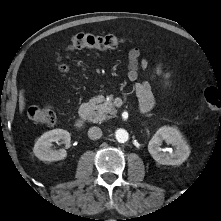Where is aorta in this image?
<instances>
[{"label": "aorta", "mask_w": 221, "mask_h": 221, "mask_svg": "<svg viewBox=\"0 0 221 221\" xmlns=\"http://www.w3.org/2000/svg\"><path fill=\"white\" fill-rule=\"evenodd\" d=\"M115 138L118 142L124 143L128 140L129 135L128 132L124 129H117L115 131Z\"/></svg>", "instance_id": "aorta-1"}]
</instances>
